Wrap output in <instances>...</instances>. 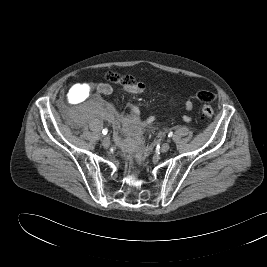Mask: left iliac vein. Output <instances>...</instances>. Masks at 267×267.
<instances>
[{
  "label": "left iliac vein",
  "instance_id": "1",
  "mask_svg": "<svg viewBox=\"0 0 267 267\" xmlns=\"http://www.w3.org/2000/svg\"><path fill=\"white\" fill-rule=\"evenodd\" d=\"M170 149V144L168 142H165L161 145L160 151L162 153L167 152Z\"/></svg>",
  "mask_w": 267,
  "mask_h": 267
}]
</instances>
